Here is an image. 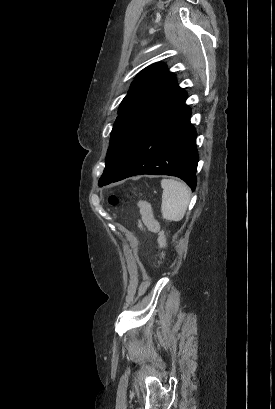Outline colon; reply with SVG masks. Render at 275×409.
I'll use <instances>...</instances> for the list:
<instances>
[{
    "instance_id": "colon-1",
    "label": "colon",
    "mask_w": 275,
    "mask_h": 409,
    "mask_svg": "<svg viewBox=\"0 0 275 409\" xmlns=\"http://www.w3.org/2000/svg\"><path fill=\"white\" fill-rule=\"evenodd\" d=\"M109 203H110V205L111 206H117V204H118V199H117V197L116 196H111L110 198H109Z\"/></svg>"
}]
</instances>
